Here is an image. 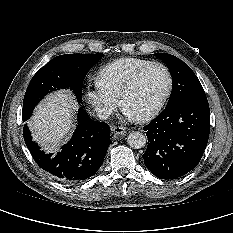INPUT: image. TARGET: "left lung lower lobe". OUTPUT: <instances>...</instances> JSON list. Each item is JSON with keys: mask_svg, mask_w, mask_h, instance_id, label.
<instances>
[{"mask_svg": "<svg viewBox=\"0 0 233 233\" xmlns=\"http://www.w3.org/2000/svg\"><path fill=\"white\" fill-rule=\"evenodd\" d=\"M207 99H186L165 107L147 131L142 157L147 168L162 179L181 177L197 166L210 133Z\"/></svg>", "mask_w": 233, "mask_h": 233, "instance_id": "1", "label": "left lung lower lobe"}]
</instances>
